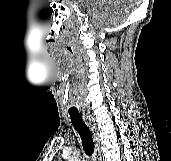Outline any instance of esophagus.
<instances>
[{
	"mask_svg": "<svg viewBox=\"0 0 171 161\" xmlns=\"http://www.w3.org/2000/svg\"><path fill=\"white\" fill-rule=\"evenodd\" d=\"M82 117L85 123L90 127L92 134H93L94 155H95L96 161H102L101 142L99 138L98 129L94 123L93 117L90 114L85 113V112L82 113Z\"/></svg>",
	"mask_w": 171,
	"mask_h": 161,
	"instance_id": "obj_1",
	"label": "esophagus"
}]
</instances>
